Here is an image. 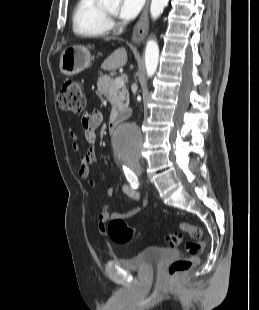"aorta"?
I'll list each match as a JSON object with an SVG mask.
<instances>
[{"instance_id": "762f6f07", "label": "aorta", "mask_w": 259, "mask_h": 310, "mask_svg": "<svg viewBox=\"0 0 259 310\" xmlns=\"http://www.w3.org/2000/svg\"><path fill=\"white\" fill-rule=\"evenodd\" d=\"M104 5H118L121 0H102ZM169 0H152L150 14L157 19L163 12ZM159 60V47L155 40H149L145 49V67L148 77H152L157 70ZM143 137L139 128L124 125L117 131L114 142L115 149L120 155L136 154L140 151Z\"/></svg>"}]
</instances>
